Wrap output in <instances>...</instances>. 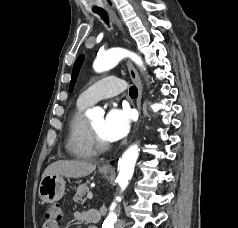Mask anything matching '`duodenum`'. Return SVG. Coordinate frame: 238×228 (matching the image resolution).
<instances>
[{
  "mask_svg": "<svg viewBox=\"0 0 238 228\" xmlns=\"http://www.w3.org/2000/svg\"><path fill=\"white\" fill-rule=\"evenodd\" d=\"M85 217L89 222L99 223L101 220V213L98 210L93 209L85 212Z\"/></svg>",
  "mask_w": 238,
  "mask_h": 228,
  "instance_id": "1",
  "label": "duodenum"
}]
</instances>
